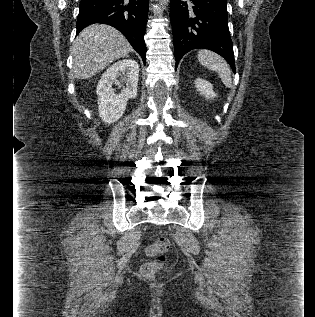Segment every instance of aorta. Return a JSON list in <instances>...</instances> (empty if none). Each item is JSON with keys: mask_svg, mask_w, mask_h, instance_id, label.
Masks as SVG:
<instances>
[{"mask_svg": "<svg viewBox=\"0 0 315 317\" xmlns=\"http://www.w3.org/2000/svg\"><path fill=\"white\" fill-rule=\"evenodd\" d=\"M162 6H166L169 3V0H159Z\"/></svg>", "mask_w": 315, "mask_h": 317, "instance_id": "762f6f07", "label": "aorta"}]
</instances>
